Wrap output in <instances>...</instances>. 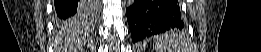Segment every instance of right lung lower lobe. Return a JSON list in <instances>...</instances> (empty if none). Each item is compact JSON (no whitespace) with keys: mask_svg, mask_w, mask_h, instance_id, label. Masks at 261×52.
Masks as SVG:
<instances>
[{"mask_svg":"<svg viewBox=\"0 0 261 52\" xmlns=\"http://www.w3.org/2000/svg\"><path fill=\"white\" fill-rule=\"evenodd\" d=\"M55 9L57 17L59 19H71L76 17L80 12H82L84 7V2L72 1V0H55ZM92 9L85 10V13H91Z\"/></svg>","mask_w":261,"mask_h":52,"instance_id":"right-lung-lower-lobe-1","label":"right lung lower lobe"}]
</instances>
